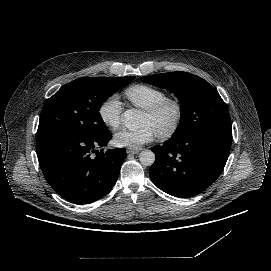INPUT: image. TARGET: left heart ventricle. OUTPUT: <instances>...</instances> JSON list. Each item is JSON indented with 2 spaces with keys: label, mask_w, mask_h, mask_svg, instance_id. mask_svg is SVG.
Masks as SVG:
<instances>
[{
  "label": "left heart ventricle",
  "mask_w": 271,
  "mask_h": 271,
  "mask_svg": "<svg viewBox=\"0 0 271 271\" xmlns=\"http://www.w3.org/2000/svg\"><path fill=\"white\" fill-rule=\"evenodd\" d=\"M173 115L174 113L172 109H167L157 117H152L146 113H143L140 124L143 126H150L154 130V132L157 133L160 129L166 128L171 123Z\"/></svg>",
  "instance_id": "1"
}]
</instances>
